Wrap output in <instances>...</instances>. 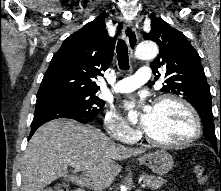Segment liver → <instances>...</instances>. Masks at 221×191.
<instances>
[{
  "instance_id": "1",
  "label": "liver",
  "mask_w": 221,
  "mask_h": 191,
  "mask_svg": "<svg viewBox=\"0 0 221 191\" xmlns=\"http://www.w3.org/2000/svg\"><path fill=\"white\" fill-rule=\"evenodd\" d=\"M144 152L115 143L95 127L69 119L53 120L38 128L29 141L21 168V191H42L61 177L81 187L100 183L106 188L121 170L115 160ZM68 166L83 174L68 175Z\"/></svg>"
}]
</instances>
